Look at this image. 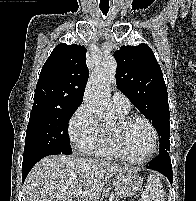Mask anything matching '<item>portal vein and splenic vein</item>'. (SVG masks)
Returning a JSON list of instances; mask_svg holds the SVG:
<instances>
[{
  "mask_svg": "<svg viewBox=\"0 0 196 201\" xmlns=\"http://www.w3.org/2000/svg\"><path fill=\"white\" fill-rule=\"evenodd\" d=\"M81 193H82V191L79 190L78 192L75 193V196L78 197Z\"/></svg>",
  "mask_w": 196,
  "mask_h": 201,
  "instance_id": "portal-vein-and-splenic-vein-1",
  "label": "portal vein and splenic vein"
}]
</instances>
